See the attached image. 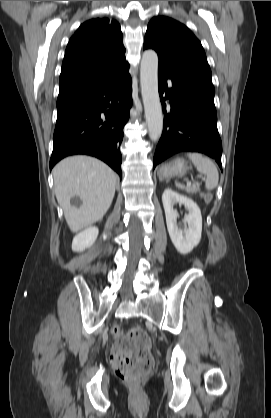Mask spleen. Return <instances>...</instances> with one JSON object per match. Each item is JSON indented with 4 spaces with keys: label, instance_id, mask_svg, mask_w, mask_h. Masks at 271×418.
Returning a JSON list of instances; mask_svg holds the SVG:
<instances>
[{
    "label": "spleen",
    "instance_id": "obj_1",
    "mask_svg": "<svg viewBox=\"0 0 271 418\" xmlns=\"http://www.w3.org/2000/svg\"><path fill=\"white\" fill-rule=\"evenodd\" d=\"M187 156L193 162L197 171L206 176L205 188L207 190L214 189L218 185L219 174L213 161L198 153H189ZM176 186L183 188V185L180 183H176Z\"/></svg>",
    "mask_w": 271,
    "mask_h": 418
}]
</instances>
